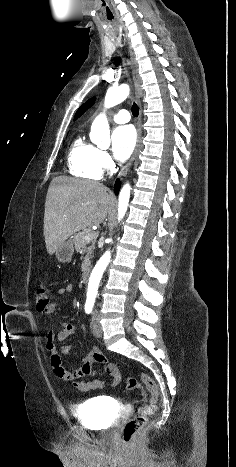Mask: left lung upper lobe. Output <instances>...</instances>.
I'll return each mask as SVG.
<instances>
[{"label": "left lung upper lobe", "instance_id": "left-lung-upper-lobe-1", "mask_svg": "<svg viewBox=\"0 0 236 467\" xmlns=\"http://www.w3.org/2000/svg\"><path fill=\"white\" fill-rule=\"evenodd\" d=\"M95 102V98H91L86 101L76 112L74 120L79 118L88 108H90Z\"/></svg>", "mask_w": 236, "mask_h": 467}]
</instances>
